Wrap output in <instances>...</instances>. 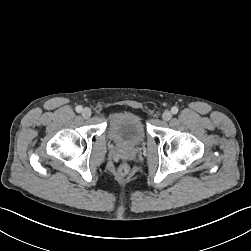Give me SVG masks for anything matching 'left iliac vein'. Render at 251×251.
Listing matches in <instances>:
<instances>
[{"label":"left iliac vein","mask_w":251,"mask_h":251,"mask_svg":"<svg viewBox=\"0 0 251 251\" xmlns=\"http://www.w3.org/2000/svg\"><path fill=\"white\" fill-rule=\"evenodd\" d=\"M162 118L164 121H169L172 118V113L169 110H166L162 114Z\"/></svg>","instance_id":"obj_1"}]
</instances>
